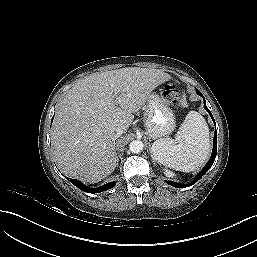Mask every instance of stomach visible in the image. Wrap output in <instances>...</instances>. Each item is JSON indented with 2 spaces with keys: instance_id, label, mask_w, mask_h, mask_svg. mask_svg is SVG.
<instances>
[{
  "instance_id": "obj_1",
  "label": "stomach",
  "mask_w": 257,
  "mask_h": 257,
  "mask_svg": "<svg viewBox=\"0 0 257 257\" xmlns=\"http://www.w3.org/2000/svg\"><path fill=\"white\" fill-rule=\"evenodd\" d=\"M143 109L144 125L151 139L161 138L174 130V114L161 93L152 92Z\"/></svg>"
}]
</instances>
